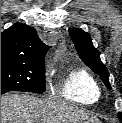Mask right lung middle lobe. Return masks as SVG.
Returning a JSON list of instances; mask_svg holds the SVG:
<instances>
[{
  "label": "right lung middle lobe",
  "mask_w": 122,
  "mask_h": 123,
  "mask_svg": "<svg viewBox=\"0 0 122 123\" xmlns=\"http://www.w3.org/2000/svg\"><path fill=\"white\" fill-rule=\"evenodd\" d=\"M45 91L44 59L1 57V92Z\"/></svg>",
  "instance_id": "dd1d6c3e"
}]
</instances>
